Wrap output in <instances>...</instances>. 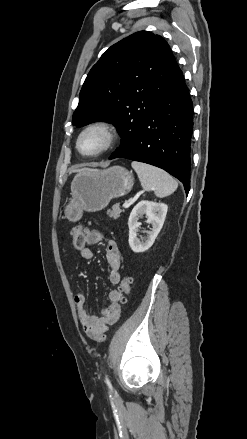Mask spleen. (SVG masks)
<instances>
[{"label":"spleen","mask_w":247,"mask_h":439,"mask_svg":"<svg viewBox=\"0 0 247 439\" xmlns=\"http://www.w3.org/2000/svg\"><path fill=\"white\" fill-rule=\"evenodd\" d=\"M131 166L136 171L142 188L153 190L159 198L171 195L178 187L177 181L158 167L137 161H133Z\"/></svg>","instance_id":"spleen-1"}]
</instances>
